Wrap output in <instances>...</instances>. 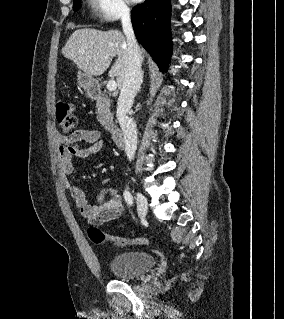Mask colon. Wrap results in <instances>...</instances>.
Returning a JSON list of instances; mask_svg holds the SVG:
<instances>
[{
	"label": "colon",
	"mask_w": 284,
	"mask_h": 319,
	"mask_svg": "<svg viewBox=\"0 0 284 319\" xmlns=\"http://www.w3.org/2000/svg\"><path fill=\"white\" fill-rule=\"evenodd\" d=\"M56 120L58 126L63 132H71L76 126V117L74 115V108L72 103L60 100L56 104ZM88 237L95 244H103L105 242H111L114 245L127 247L134 245L147 244L149 241L147 238H116L107 236L102 230L97 227H90L88 229Z\"/></svg>",
	"instance_id": "obj_1"
}]
</instances>
